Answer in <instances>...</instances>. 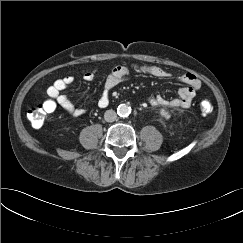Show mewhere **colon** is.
Returning a JSON list of instances; mask_svg holds the SVG:
<instances>
[{
	"label": "colon",
	"mask_w": 243,
	"mask_h": 243,
	"mask_svg": "<svg viewBox=\"0 0 243 243\" xmlns=\"http://www.w3.org/2000/svg\"><path fill=\"white\" fill-rule=\"evenodd\" d=\"M55 109V102L46 100L31 108L27 113V118L34 128H40L43 126L47 114L53 112ZM199 109L202 114L208 115L213 111V105L209 101L203 100L199 104Z\"/></svg>",
	"instance_id": "obj_1"
}]
</instances>
